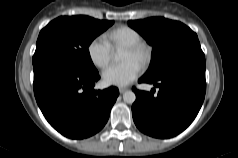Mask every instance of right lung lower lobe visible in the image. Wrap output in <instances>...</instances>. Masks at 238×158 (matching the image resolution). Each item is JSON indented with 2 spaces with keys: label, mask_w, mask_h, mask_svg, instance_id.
<instances>
[{
  "label": "right lung lower lobe",
  "mask_w": 238,
  "mask_h": 158,
  "mask_svg": "<svg viewBox=\"0 0 238 158\" xmlns=\"http://www.w3.org/2000/svg\"><path fill=\"white\" fill-rule=\"evenodd\" d=\"M34 94L47 121L62 135L83 139L106 124L119 91L94 90L98 71L85 73L51 56L33 61Z\"/></svg>",
  "instance_id": "1"
}]
</instances>
